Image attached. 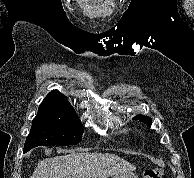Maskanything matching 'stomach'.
I'll return each instance as SVG.
<instances>
[{"label": "stomach", "instance_id": "stomach-1", "mask_svg": "<svg viewBox=\"0 0 194 178\" xmlns=\"http://www.w3.org/2000/svg\"><path fill=\"white\" fill-rule=\"evenodd\" d=\"M113 178H138L134 173L127 172V173H120L113 176Z\"/></svg>", "mask_w": 194, "mask_h": 178}]
</instances>
